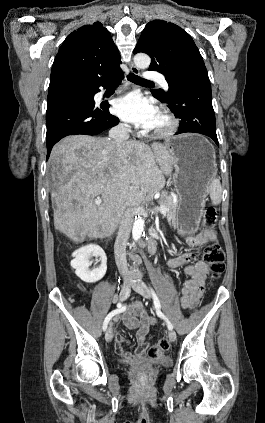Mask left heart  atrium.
<instances>
[{"label": "left heart atrium", "instance_id": "left-heart-atrium-1", "mask_svg": "<svg viewBox=\"0 0 265 423\" xmlns=\"http://www.w3.org/2000/svg\"><path fill=\"white\" fill-rule=\"evenodd\" d=\"M114 111L122 120L148 129L151 128L159 112L152 100L138 92L117 99Z\"/></svg>", "mask_w": 265, "mask_h": 423}]
</instances>
